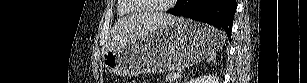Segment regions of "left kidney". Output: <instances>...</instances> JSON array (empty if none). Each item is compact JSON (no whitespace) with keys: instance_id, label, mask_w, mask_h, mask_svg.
I'll return each mask as SVG.
<instances>
[{"instance_id":"obj_1","label":"left kidney","mask_w":307,"mask_h":83,"mask_svg":"<svg viewBox=\"0 0 307 83\" xmlns=\"http://www.w3.org/2000/svg\"><path fill=\"white\" fill-rule=\"evenodd\" d=\"M188 83H219V79L217 76L214 75H204L199 76L197 78H193Z\"/></svg>"}]
</instances>
